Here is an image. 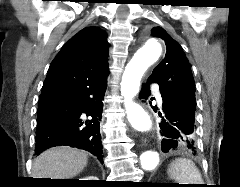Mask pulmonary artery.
<instances>
[{"label":"pulmonary artery","instance_id":"1","mask_svg":"<svg viewBox=\"0 0 240 187\" xmlns=\"http://www.w3.org/2000/svg\"><path fill=\"white\" fill-rule=\"evenodd\" d=\"M154 89H156V86H153ZM157 100L159 103H162V99L160 95H157Z\"/></svg>","mask_w":240,"mask_h":187}]
</instances>
